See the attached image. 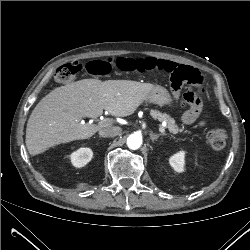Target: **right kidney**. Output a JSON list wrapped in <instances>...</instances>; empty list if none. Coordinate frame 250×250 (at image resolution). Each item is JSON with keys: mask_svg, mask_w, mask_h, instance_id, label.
I'll return each instance as SVG.
<instances>
[{"mask_svg": "<svg viewBox=\"0 0 250 250\" xmlns=\"http://www.w3.org/2000/svg\"><path fill=\"white\" fill-rule=\"evenodd\" d=\"M93 152L90 148H80L70 155L71 162L75 167H83L92 159Z\"/></svg>", "mask_w": 250, "mask_h": 250, "instance_id": "1", "label": "right kidney"}]
</instances>
